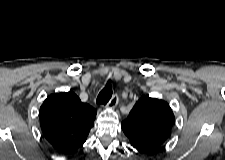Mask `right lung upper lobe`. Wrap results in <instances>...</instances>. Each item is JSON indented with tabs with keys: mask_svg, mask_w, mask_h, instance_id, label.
Returning <instances> with one entry per match:
<instances>
[{
	"mask_svg": "<svg viewBox=\"0 0 225 160\" xmlns=\"http://www.w3.org/2000/svg\"><path fill=\"white\" fill-rule=\"evenodd\" d=\"M39 116L46 140L60 153L70 154L86 141L96 110L69 91L48 96L40 107Z\"/></svg>",
	"mask_w": 225,
	"mask_h": 160,
	"instance_id": "1",
	"label": "right lung upper lobe"
}]
</instances>
